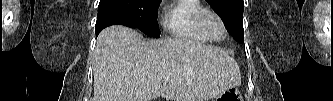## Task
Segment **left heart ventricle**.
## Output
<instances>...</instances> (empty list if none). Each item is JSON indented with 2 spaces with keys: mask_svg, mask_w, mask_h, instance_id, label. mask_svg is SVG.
Here are the masks:
<instances>
[{
  "mask_svg": "<svg viewBox=\"0 0 333 101\" xmlns=\"http://www.w3.org/2000/svg\"><path fill=\"white\" fill-rule=\"evenodd\" d=\"M205 23L212 36L221 37L222 27L216 17L213 15H207Z\"/></svg>",
  "mask_w": 333,
  "mask_h": 101,
  "instance_id": "b2bd125f",
  "label": "left heart ventricle"
}]
</instances>
